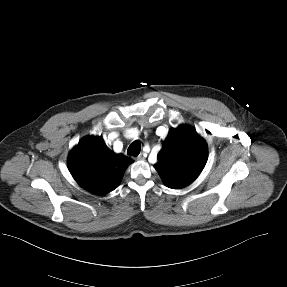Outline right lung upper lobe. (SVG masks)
Masks as SVG:
<instances>
[{
  "instance_id": "right-lung-upper-lobe-1",
  "label": "right lung upper lobe",
  "mask_w": 287,
  "mask_h": 287,
  "mask_svg": "<svg viewBox=\"0 0 287 287\" xmlns=\"http://www.w3.org/2000/svg\"><path fill=\"white\" fill-rule=\"evenodd\" d=\"M131 162L129 157L109 150L102 137L88 136L70 152L68 168L83 188L105 194L118 187Z\"/></svg>"
}]
</instances>
